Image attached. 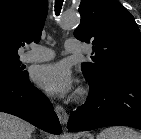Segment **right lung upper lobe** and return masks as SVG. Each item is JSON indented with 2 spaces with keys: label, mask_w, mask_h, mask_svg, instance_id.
Wrapping results in <instances>:
<instances>
[{
  "label": "right lung upper lobe",
  "mask_w": 141,
  "mask_h": 139,
  "mask_svg": "<svg viewBox=\"0 0 141 139\" xmlns=\"http://www.w3.org/2000/svg\"><path fill=\"white\" fill-rule=\"evenodd\" d=\"M47 12L46 0H0V56H18L25 42H39Z\"/></svg>",
  "instance_id": "1"
}]
</instances>
